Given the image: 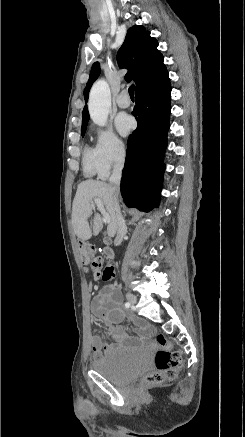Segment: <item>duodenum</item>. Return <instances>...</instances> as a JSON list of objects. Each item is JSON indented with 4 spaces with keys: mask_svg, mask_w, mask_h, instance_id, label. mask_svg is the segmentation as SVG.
Listing matches in <instances>:
<instances>
[{
    "mask_svg": "<svg viewBox=\"0 0 245 437\" xmlns=\"http://www.w3.org/2000/svg\"><path fill=\"white\" fill-rule=\"evenodd\" d=\"M104 255L108 258V259H112L113 258V251L110 247H105L104 250Z\"/></svg>",
    "mask_w": 245,
    "mask_h": 437,
    "instance_id": "410a0bca",
    "label": "duodenum"
}]
</instances>
